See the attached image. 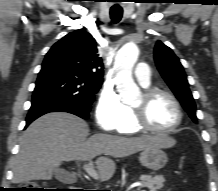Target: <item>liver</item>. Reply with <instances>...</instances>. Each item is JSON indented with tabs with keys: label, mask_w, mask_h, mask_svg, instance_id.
<instances>
[{
	"label": "liver",
	"mask_w": 218,
	"mask_h": 191,
	"mask_svg": "<svg viewBox=\"0 0 218 191\" xmlns=\"http://www.w3.org/2000/svg\"><path fill=\"white\" fill-rule=\"evenodd\" d=\"M88 124L69 113L53 112L34 121L20 139L13 166V183L49 180L62 161L90 160L102 154L126 157L150 147L171 148L176 141L166 134L122 137L94 134L87 139ZM101 181L109 180L116 169L114 161L96 160Z\"/></svg>",
	"instance_id": "1"
}]
</instances>
